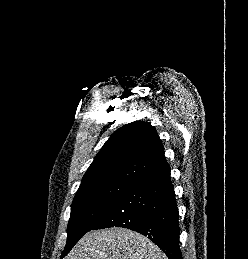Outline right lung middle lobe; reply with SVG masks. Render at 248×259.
Returning a JSON list of instances; mask_svg holds the SVG:
<instances>
[{
    "instance_id": "right-lung-middle-lobe-1",
    "label": "right lung middle lobe",
    "mask_w": 248,
    "mask_h": 259,
    "mask_svg": "<svg viewBox=\"0 0 248 259\" xmlns=\"http://www.w3.org/2000/svg\"><path fill=\"white\" fill-rule=\"evenodd\" d=\"M131 185L127 182L108 181L79 187L71 205L67 243L61 258L91 230Z\"/></svg>"
}]
</instances>
